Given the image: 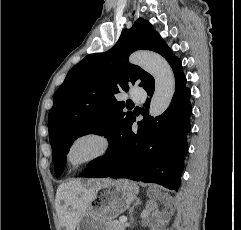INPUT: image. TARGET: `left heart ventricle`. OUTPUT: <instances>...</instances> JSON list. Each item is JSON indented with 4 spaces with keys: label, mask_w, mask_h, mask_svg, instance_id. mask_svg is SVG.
Listing matches in <instances>:
<instances>
[{
    "label": "left heart ventricle",
    "mask_w": 241,
    "mask_h": 230,
    "mask_svg": "<svg viewBox=\"0 0 241 230\" xmlns=\"http://www.w3.org/2000/svg\"><path fill=\"white\" fill-rule=\"evenodd\" d=\"M99 146L98 141L93 138H84L77 141L70 151L71 162L76 164L85 160L96 153Z\"/></svg>",
    "instance_id": "b2bd125f"
}]
</instances>
